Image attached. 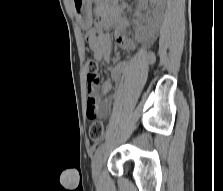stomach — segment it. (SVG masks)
I'll list each match as a JSON object with an SVG mask.
<instances>
[{
	"mask_svg": "<svg viewBox=\"0 0 223 191\" xmlns=\"http://www.w3.org/2000/svg\"><path fill=\"white\" fill-rule=\"evenodd\" d=\"M93 0H72L75 16L82 28L91 26V3Z\"/></svg>",
	"mask_w": 223,
	"mask_h": 191,
	"instance_id": "obj_1",
	"label": "stomach"
}]
</instances>
